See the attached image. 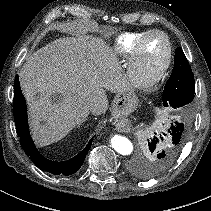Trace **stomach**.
<instances>
[{
  "label": "stomach",
  "mask_w": 211,
  "mask_h": 211,
  "mask_svg": "<svg viewBox=\"0 0 211 211\" xmlns=\"http://www.w3.org/2000/svg\"><path fill=\"white\" fill-rule=\"evenodd\" d=\"M138 99L134 92L119 93L112 103V114L116 118H124L130 115L137 107Z\"/></svg>",
  "instance_id": "0dacf381"
}]
</instances>
